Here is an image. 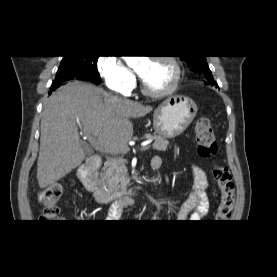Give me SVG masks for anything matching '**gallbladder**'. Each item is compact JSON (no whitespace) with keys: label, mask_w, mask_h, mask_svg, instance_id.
<instances>
[{"label":"gallbladder","mask_w":277,"mask_h":277,"mask_svg":"<svg viewBox=\"0 0 277 277\" xmlns=\"http://www.w3.org/2000/svg\"><path fill=\"white\" fill-rule=\"evenodd\" d=\"M84 150H85V152H86L87 154H90V150H89V149H87L86 147H84Z\"/></svg>","instance_id":"obj_1"}]
</instances>
